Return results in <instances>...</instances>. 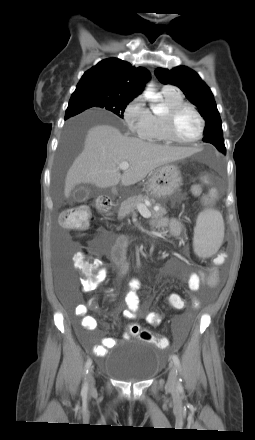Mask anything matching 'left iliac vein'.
Segmentation results:
<instances>
[{
	"label": "left iliac vein",
	"instance_id": "obj_1",
	"mask_svg": "<svg viewBox=\"0 0 255 440\" xmlns=\"http://www.w3.org/2000/svg\"><path fill=\"white\" fill-rule=\"evenodd\" d=\"M177 375H176V367L173 363H170V371L167 380V388L170 391H174L177 386Z\"/></svg>",
	"mask_w": 255,
	"mask_h": 440
}]
</instances>
